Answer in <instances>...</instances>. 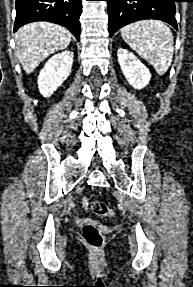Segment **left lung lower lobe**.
I'll return each instance as SVG.
<instances>
[{
  "instance_id": "1",
  "label": "left lung lower lobe",
  "mask_w": 193,
  "mask_h": 287,
  "mask_svg": "<svg viewBox=\"0 0 193 287\" xmlns=\"http://www.w3.org/2000/svg\"><path fill=\"white\" fill-rule=\"evenodd\" d=\"M108 2L110 37L121 27L144 19L165 21L177 29V0H105Z\"/></svg>"
}]
</instances>
